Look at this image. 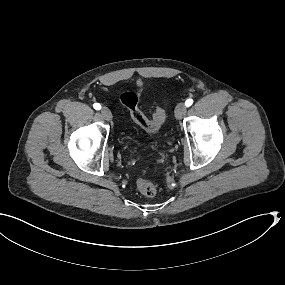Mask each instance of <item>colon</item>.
Segmentation results:
<instances>
[{
    "label": "colon",
    "mask_w": 285,
    "mask_h": 285,
    "mask_svg": "<svg viewBox=\"0 0 285 285\" xmlns=\"http://www.w3.org/2000/svg\"><path fill=\"white\" fill-rule=\"evenodd\" d=\"M119 100L129 110L133 121L147 131H158L166 120L165 111L160 107L155 110L153 117L148 119L138 108V97L133 92L122 93ZM136 185L140 193L147 197H153L157 193L156 184L150 180L139 178Z\"/></svg>",
    "instance_id": "colon-1"
}]
</instances>
